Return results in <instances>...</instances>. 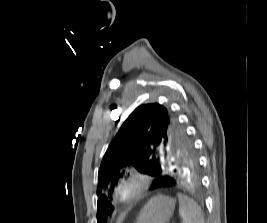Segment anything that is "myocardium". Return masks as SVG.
<instances>
[{"label": "myocardium", "mask_w": 267, "mask_h": 223, "mask_svg": "<svg viewBox=\"0 0 267 223\" xmlns=\"http://www.w3.org/2000/svg\"><path fill=\"white\" fill-rule=\"evenodd\" d=\"M148 185L149 177L146 174L132 171L117 181L113 188V196L120 203H132L143 195Z\"/></svg>", "instance_id": "f54148a6"}]
</instances>
